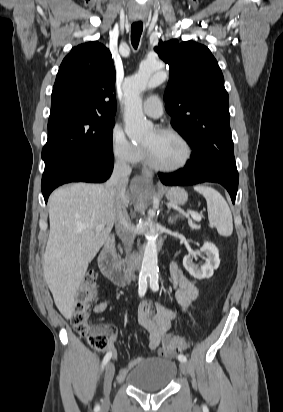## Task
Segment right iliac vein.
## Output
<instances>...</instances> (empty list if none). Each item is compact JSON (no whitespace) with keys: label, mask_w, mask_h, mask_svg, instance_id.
I'll use <instances>...</instances> for the list:
<instances>
[{"label":"right iliac vein","mask_w":283,"mask_h":412,"mask_svg":"<svg viewBox=\"0 0 283 412\" xmlns=\"http://www.w3.org/2000/svg\"><path fill=\"white\" fill-rule=\"evenodd\" d=\"M115 373V367L112 362H109L104 372V398L102 400V408L107 409L110 404L109 394L111 389V383Z\"/></svg>","instance_id":"right-iliac-vein-1"}]
</instances>
